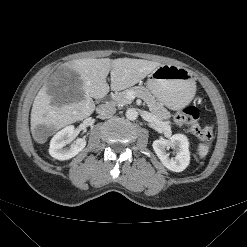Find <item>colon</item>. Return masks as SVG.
Segmentation results:
<instances>
[{
	"mask_svg": "<svg viewBox=\"0 0 247 247\" xmlns=\"http://www.w3.org/2000/svg\"><path fill=\"white\" fill-rule=\"evenodd\" d=\"M200 112L197 107L190 106L175 115V121L189 127L190 131L202 140H210L213 137L214 130L212 126H201L198 123Z\"/></svg>",
	"mask_w": 247,
	"mask_h": 247,
	"instance_id": "1",
	"label": "colon"
}]
</instances>
